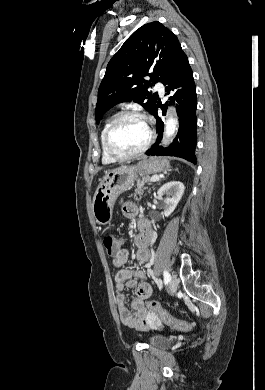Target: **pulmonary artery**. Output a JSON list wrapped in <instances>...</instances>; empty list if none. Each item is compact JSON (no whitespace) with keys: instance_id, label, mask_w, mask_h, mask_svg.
Listing matches in <instances>:
<instances>
[{"instance_id":"obj_1","label":"pulmonary artery","mask_w":265,"mask_h":390,"mask_svg":"<svg viewBox=\"0 0 265 390\" xmlns=\"http://www.w3.org/2000/svg\"><path fill=\"white\" fill-rule=\"evenodd\" d=\"M155 89L159 91L160 94L164 93V85L161 82L155 84Z\"/></svg>"}]
</instances>
